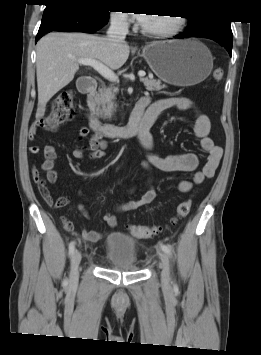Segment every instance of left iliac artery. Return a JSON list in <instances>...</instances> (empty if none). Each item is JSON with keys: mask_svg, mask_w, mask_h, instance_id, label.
Instances as JSON below:
<instances>
[{"mask_svg": "<svg viewBox=\"0 0 261 355\" xmlns=\"http://www.w3.org/2000/svg\"><path fill=\"white\" fill-rule=\"evenodd\" d=\"M161 249L170 257H172V248L169 245L161 244Z\"/></svg>", "mask_w": 261, "mask_h": 355, "instance_id": "44dca946", "label": "left iliac artery"}]
</instances>
